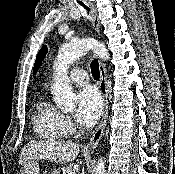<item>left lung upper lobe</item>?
Wrapping results in <instances>:
<instances>
[{"label":"left lung upper lobe","mask_w":175,"mask_h":174,"mask_svg":"<svg viewBox=\"0 0 175 174\" xmlns=\"http://www.w3.org/2000/svg\"><path fill=\"white\" fill-rule=\"evenodd\" d=\"M46 52H47V47L43 46V48L39 51V53L37 55L35 65H34V69H33V74H35L37 72V69L39 68V66L41 64V61L45 57Z\"/></svg>","instance_id":"1"}]
</instances>
